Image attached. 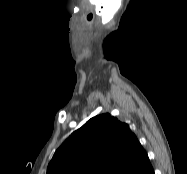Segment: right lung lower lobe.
Segmentation results:
<instances>
[{"instance_id": "right-lung-lower-lobe-1", "label": "right lung lower lobe", "mask_w": 187, "mask_h": 174, "mask_svg": "<svg viewBox=\"0 0 187 174\" xmlns=\"http://www.w3.org/2000/svg\"><path fill=\"white\" fill-rule=\"evenodd\" d=\"M149 174H154V171H153V172H150Z\"/></svg>"}]
</instances>
